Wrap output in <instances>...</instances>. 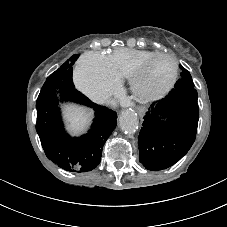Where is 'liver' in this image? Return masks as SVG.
<instances>
[{
	"mask_svg": "<svg viewBox=\"0 0 227 227\" xmlns=\"http://www.w3.org/2000/svg\"><path fill=\"white\" fill-rule=\"evenodd\" d=\"M64 118L68 131L76 135L83 132L88 126L91 119V112L81 107L65 106Z\"/></svg>",
	"mask_w": 227,
	"mask_h": 227,
	"instance_id": "obj_1",
	"label": "liver"
}]
</instances>
